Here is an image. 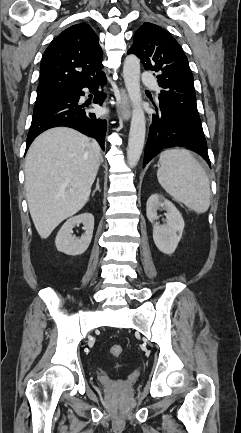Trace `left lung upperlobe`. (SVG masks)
<instances>
[{
	"label": "left lung upper lobe",
	"instance_id": "obj_1",
	"mask_svg": "<svg viewBox=\"0 0 241 433\" xmlns=\"http://www.w3.org/2000/svg\"><path fill=\"white\" fill-rule=\"evenodd\" d=\"M141 59L146 70L158 73L162 88L159 105L171 110L186 125L204 135L196 105L193 75L179 43L164 29L144 23L134 35L128 54Z\"/></svg>",
	"mask_w": 241,
	"mask_h": 433
}]
</instances>
